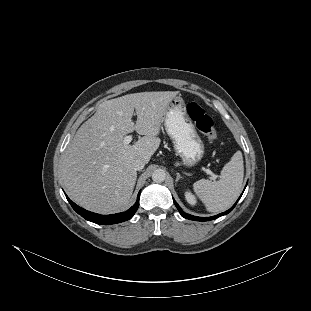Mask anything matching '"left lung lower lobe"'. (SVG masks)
<instances>
[{
  "label": "left lung lower lobe",
  "instance_id": "obj_1",
  "mask_svg": "<svg viewBox=\"0 0 311 311\" xmlns=\"http://www.w3.org/2000/svg\"><path fill=\"white\" fill-rule=\"evenodd\" d=\"M242 196V194L240 195V197ZM239 197V199H240ZM238 199V200H239ZM237 200V202H238ZM237 202L233 205L232 208H230L229 210H227L226 212H223V213H220L216 216H212V217H196V216H193V215H190V214H186L185 212H183V210L180 208V206L176 203V201L174 200V203L177 207V209L179 210L180 214L184 217V218H187V219H190V220H195V221H209V220H213V219H216L222 215H225V214H228L234 207L235 205L237 204Z\"/></svg>",
  "mask_w": 311,
  "mask_h": 311
}]
</instances>
